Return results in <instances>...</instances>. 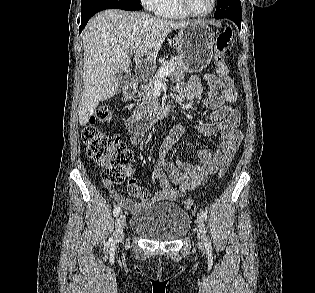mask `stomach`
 I'll return each instance as SVG.
<instances>
[{
  "instance_id": "0dacf381",
  "label": "stomach",
  "mask_w": 315,
  "mask_h": 293,
  "mask_svg": "<svg viewBox=\"0 0 315 293\" xmlns=\"http://www.w3.org/2000/svg\"><path fill=\"white\" fill-rule=\"evenodd\" d=\"M215 33L204 22H191L181 28L176 38V49L184 58L185 71L199 72L207 67L213 57Z\"/></svg>"
}]
</instances>
